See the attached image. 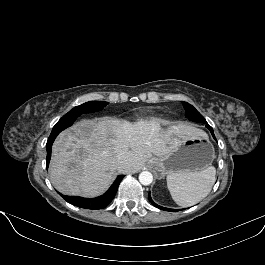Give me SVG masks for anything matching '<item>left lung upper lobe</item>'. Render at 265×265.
<instances>
[{"mask_svg":"<svg viewBox=\"0 0 265 265\" xmlns=\"http://www.w3.org/2000/svg\"><path fill=\"white\" fill-rule=\"evenodd\" d=\"M185 116L191 121L205 123V118L190 104L183 102Z\"/></svg>","mask_w":265,"mask_h":265,"instance_id":"5c2ea615","label":"left lung upper lobe"}]
</instances>
